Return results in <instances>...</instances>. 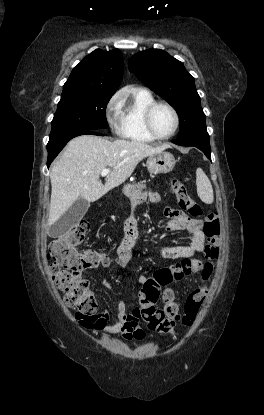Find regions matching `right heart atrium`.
<instances>
[{
	"instance_id": "obj_1",
	"label": "right heart atrium",
	"mask_w": 264,
	"mask_h": 415,
	"mask_svg": "<svg viewBox=\"0 0 264 415\" xmlns=\"http://www.w3.org/2000/svg\"><path fill=\"white\" fill-rule=\"evenodd\" d=\"M121 102L118 95H114L106 105L105 114L109 125L114 130H119L120 127V112Z\"/></svg>"
}]
</instances>
